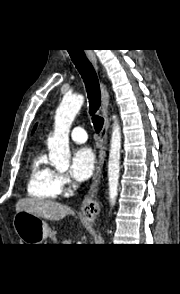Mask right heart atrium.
I'll list each match as a JSON object with an SVG mask.
<instances>
[{"label":"right heart atrium","instance_id":"1","mask_svg":"<svg viewBox=\"0 0 180 294\" xmlns=\"http://www.w3.org/2000/svg\"><path fill=\"white\" fill-rule=\"evenodd\" d=\"M56 183L59 189V194L65 193L70 186V179L68 175L64 173H57L56 174Z\"/></svg>","mask_w":180,"mask_h":294}]
</instances>
